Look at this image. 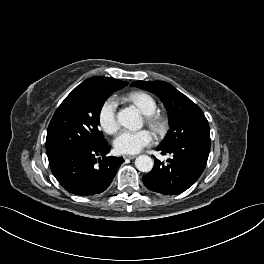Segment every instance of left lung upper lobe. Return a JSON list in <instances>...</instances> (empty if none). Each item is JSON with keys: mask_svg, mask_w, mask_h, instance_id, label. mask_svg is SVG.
Listing matches in <instances>:
<instances>
[{"mask_svg": "<svg viewBox=\"0 0 264 264\" xmlns=\"http://www.w3.org/2000/svg\"><path fill=\"white\" fill-rule=\"evenodd\" d=\"M131 86L154 93L167 109L171 128L159 146L169 147L185 140H210L209 125L203 111L171 84L135 81Z\"/></svg>", "mask_w": 264, "mask_h": 264, "instance_id": "5c2ea615", "label": "left lung upper lobe"}]
</instances>
